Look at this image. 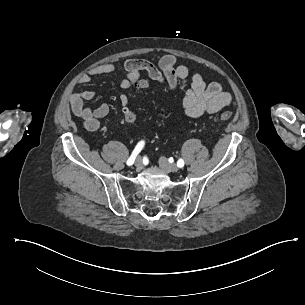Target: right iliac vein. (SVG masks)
Wrapping results in <instances>:
<instances>
[{
	"instance_id": "right-iliac-vein-1",
	"label": "right iliac vein",
	"mask_w": 305,
	"mask_h": 305,
	"mask_svg": "<svg viewBox=\"0 0 305 305\" xmlns=\"http://www.w3.org/2000/svg\"><path fill=\"white\" fill-rule=\"evenodd\" d=\"M135 166L137 169H141L142 166H143V163H142V160L140 157H137L136 160H135Z\"/></svg>"
}]
</instances>
